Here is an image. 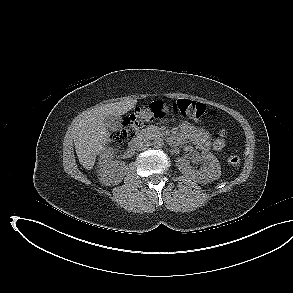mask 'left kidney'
Masks as SVG:
<instances>
[{
  "label": "left kidney",
  "instance_id": "obj_1",
  "mask_svg": "<svg viewBox=\"0 0 293 293\" xmlns=\"http://www.w3.org/2000/svg\"><path fill=\"white\" fill-rule=\"evenodd\" d=\"M202 158L207 162L201 169L195 170L190 166L189 160L178 158L176 165L186 176L201 183H209L219 179L221 176V166L217 158L212 153H202Z\"/></svg>",
  "mask_w": 293,
  "mask_h": 293
}]
</instances>
